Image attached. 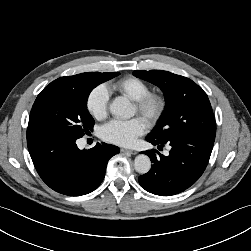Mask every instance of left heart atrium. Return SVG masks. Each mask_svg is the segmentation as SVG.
<instances>
[{
	"instance_id": "1",
	"label": "left heart atrium",
	"mask_w": 251,
	"mask_h": 251,
	"mask_svg": "<svg viewBox=\"0 0 251 251\" xmlns=\"http://www.w3.org/2000/svg\"><path fill=\"white\" fill-rule=\"evenodd\" d=\"M145 131L146 123L141 118L114 119L101 128L100 135L106 142L120 146H131Z\"/></svg>"
}]
</instances>
